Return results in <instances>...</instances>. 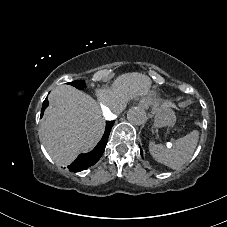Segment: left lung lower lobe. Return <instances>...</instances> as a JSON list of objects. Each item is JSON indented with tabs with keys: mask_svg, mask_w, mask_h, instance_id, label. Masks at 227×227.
<instances>
[{
	"mask_svg": "<svg viewBox=\"0 0 227 227\" xmlns=\"http://www.w3.org/2000/svg\"><path fill=\"white\" fill-rule=\"evenodd\" d=\"M141 155H143V152H142V150H141Z\"/></svg>",
	"mask_w": 227,
	"mask_h": 227,
	"instance_id": "1",
	"label": "left lung lower lobe"
}]
</instances>
